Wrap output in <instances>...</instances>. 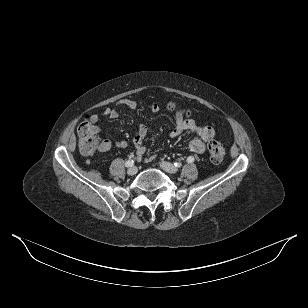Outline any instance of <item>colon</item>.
<instances>
[{"instance_id": "obj_1", "label": "colon", "mask_w": 308, "mask_h": 308, "mask_svg": "<svg viewBox=\"0 0 308 308\" xmlns=\"http://www.w3.org/2000/svg\"><path fill=\"white\" fill-rule=\"evenodd\" d=\"M181 114L183 110L176 108L174 105L169 107ZM78 137L80 150L84 154H93L100 143V127L98 122L93 119V116H87L86 119L78 127ZM209 159L213 164H219L225 156V148L218 141H210L208 144Z\"/></svg>"}]
</instances>
